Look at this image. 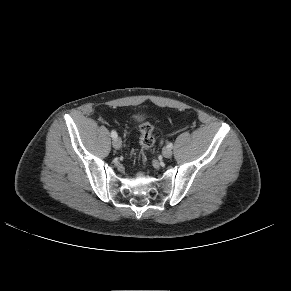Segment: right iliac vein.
Returning <instances> with one entry per match:
<instances>
[{
	"label": "right iliac vein",
	"instance_id": "1",
	"mask_svg": "<svg viewBox=\"0 0 291 291\" xmlns=\"http://www.w3.org/2000/svg\"><path fill=\"white\" fill-rule=\"evenodd\" d=\"M113 144V147L116 148V149H120L121 146H122V141L120 138H115L112 142Z\"/></svg>",
	"mask_w": 291,
	"mask_h": 291
}]
</instances>
